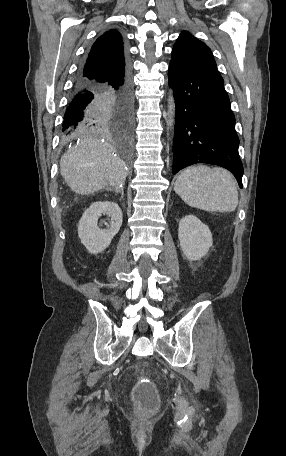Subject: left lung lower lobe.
Here are the masks:
<instances>
[{
    "label": "left lung lower lobe",
    "mask_w": 286,
    "mask_h": 456,
    "mask_svg": "<svg viewBox=\"0 0 286 456\" xmlns=\"http://www.w3.org/2000/svg\"><path fill=\"white\" fill-rule=\"evenodd\" d=\"M168 78L176 100L172 173L196 163L215 164L231 171L242 188L239 138L224 83L173 62Z\"/></svg>",
    "instance_id": "1"
}]
</instances>
